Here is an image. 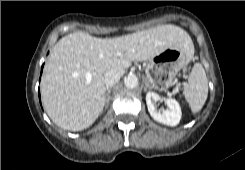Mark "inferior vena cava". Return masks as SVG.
Segmentation results:
<instances>
[{
	"instance_id": "inferior-vena-cava-1",
	"label": "inferior vena cava",
	"mask_w": 245,
	"mask_h": 170,
	"mask_svg": "<svg viewBox=\"0 0 245 170\" xmlns=\"http://www.w3.org/2000/svg\"><path fill=\"white\" fill-rule=\"evenodd\" d=\"M124 74V71L110 70L105 74L104 81L107 88L116 84L120 77Z\"/></svg>"
}]
</instances>
